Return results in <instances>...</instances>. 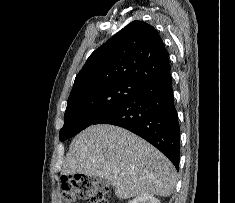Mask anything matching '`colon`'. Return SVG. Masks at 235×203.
I'll list each match as a JSON object with an SVG mask.
<instances>
[{
  "mask_svg": "<svg viewBox=\"0 0 235 203\" xmlns=\"http://www.w3.org/2000/svg\"><path fill=\"white\" fill-rule=\"evenodd\" d=\"M63 203H74L78 198L90 203H109V188L92 176H65L61 181Z\"/></svg>",
  "mask_w": 235,
  "mask_h": 203,
  "instance_id": "colon-1",
  "label": "colon"
}]
</instances>
